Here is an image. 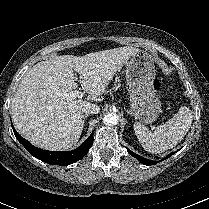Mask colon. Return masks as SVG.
<instances>
[{
	"instance_id": "colon-1",
	"label": "colon",
	"mask_w": 209,
	"mask_h": 209,
	"mask_svg": "<svg viewBox=\"0 0 209 209\" xmlns=\"http://www.w3.org/2000/svg\"><path fill=\"white\" fill-rule=\"evenodd\" d=\"M153 85H154V88L155 89H159L160 88V82H159V80H154Z\"/></svg>"
}]
</instances>
